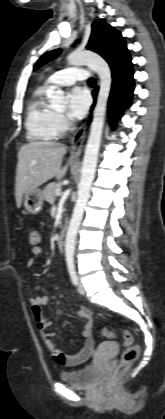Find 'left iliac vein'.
Instances as JSON below:
<instances>
[{
    "label": "left iliac vein",
    "instance_id": "4c4485c4",
    "mask_svg": "<svg viewBox=\"0 0 165 419\" xmlns=\"http://www.w3.org/2000/svg\"><path fill=\"white\" fill-rule=\"evenodd\" d=\"M78 292L80 294H85V288H84V285L81 282H79V284H78Z\"/></svg>",
    "mask_w": 165,
    "mask_h": 419
}]
</instances>
